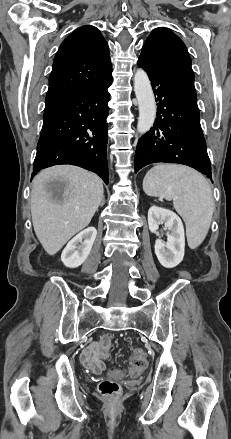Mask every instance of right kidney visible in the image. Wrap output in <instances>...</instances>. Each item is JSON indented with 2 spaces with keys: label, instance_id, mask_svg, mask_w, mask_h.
I'll return each instance as SVG.
<instances>
[{
  "label": "right kidney",
  "instance_id": "obj_1",
  "mask_svg": "<svg viewBox=\"0 0 231 439\" xmlns=\"http://www.w3.org/2000/svg\"><path fill=\"white\" fill-rule=\"evenodd\" d=\"M97 235L94 227H88L68 242L61 254L63 264L68 268H76L89 256Z\"/></svg>",
  "mask_w": 231,
  "mask_h": 439
}]
</instances>
